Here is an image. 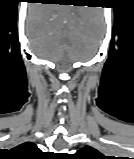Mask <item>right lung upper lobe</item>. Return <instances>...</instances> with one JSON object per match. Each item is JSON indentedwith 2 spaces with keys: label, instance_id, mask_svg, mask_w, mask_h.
<instances>
[{
  "label": "right lung upper lobe",
  "instance_id": "obj_1",
  "mask_svg": "<svg viewBox=\"0 0 134 159\" xmlns=\"http://www.w3.org/2000/svg\"><path fill=\"white\" fill-rule=\"evenodd\" d=\"M14 150L24 156L23 159H33L39 153V148L31 142L23 143L14 148Z\"/></svg>",
  "mask_w": 134,
  "mask_h": 159
}]
</instances>
